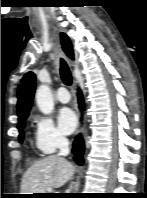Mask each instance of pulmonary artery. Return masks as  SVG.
<instances>
[{"label": "pulmonary artery", "mask_w": 147, "mask_h": 198, "mask_svg": "<svg viewBox=\"0 0 147 198\" xmlns=\"http://www.w3.org/2000/svg\"><path fill=\"white\" fill-rule=\"evenodd\" d=\"M57 99L61 103H68L71 99V96L66 88L60 87L57 92Z\"/></svg>", "instance_id": "1"}]
</instances>
